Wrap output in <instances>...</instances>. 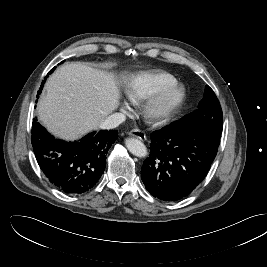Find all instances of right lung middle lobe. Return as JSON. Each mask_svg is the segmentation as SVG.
I'll list each match as a JSON object with an SVG mask.
<instances>
[{
	"label": "right lung middle lobe",
	"instance_id": "right-lung-middle-lobe-1",
	"mask_svg": "<svg viewBox=\"0 0 267 267\" xmlns=\"http://www.w3.org/2000/svg\"><path fill=\"white\" fill-rule=\"evenodd\" d=\"M54 69H55V67H54L50 72H52ZM50 72H49V73H50ZM44 82H45V81H44ZM42 87H43V86L41 85L40 90H42ZM39 93H41V91H39Z\"/></svg>",
	"mask_w": 267,
	"mask_h": 267
}]
</instances>
